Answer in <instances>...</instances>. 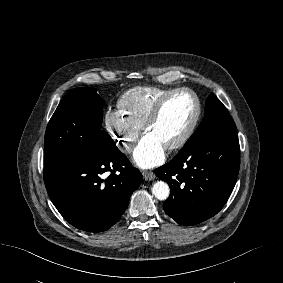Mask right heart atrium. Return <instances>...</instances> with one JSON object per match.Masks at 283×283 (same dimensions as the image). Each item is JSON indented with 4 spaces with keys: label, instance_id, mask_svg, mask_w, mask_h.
Listing matches in <instances>:
<instances>
[{
    "label": "right heart atrium",
    "instance_id": "right-heart-atrium-1",
    "mask_svg": "<svg viewBox=\"0 0 283 283\" xmlns=\"http://www.w3.org/2000/svg\"><path fill=\"white\" fill-rule=\"evenodd\" d=\"M104 122L119 150L125 154L130 153L139 138L140 129L134 126L120 109H109L105 113Z\"/></svg>",
    "mask_w": 283,
    "mask_h": 283
}]
</instances>
